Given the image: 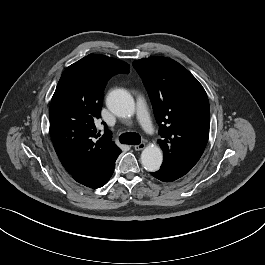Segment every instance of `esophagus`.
Instances as JSON below:
<instances>
[{
    "mask_svg": "<svg viewBox=\"0 0 265 265\" xmlns=\"http://www.w3.org/2000/svg\"><path fill=\"white\" fill-rule=\"evenodd\" d=\"M145 146H146L145 143H140V144H138V145H135V146H134V149H135L136 151H140V150L144 149Z\"/></svg>",
    "mask_w": 265,
    "mask_h": 265,
    "instance_id": "34e87169",
    "label": "esophagus"
}]
</instances>
